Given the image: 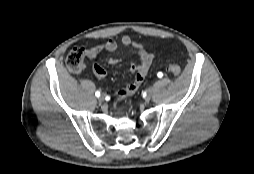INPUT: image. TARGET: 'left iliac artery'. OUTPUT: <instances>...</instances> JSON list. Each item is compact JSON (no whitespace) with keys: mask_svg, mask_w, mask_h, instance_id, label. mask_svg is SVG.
Here are the masks:
<instances>
[{"mask_svg":"<svg viewBox=\"0 0 254 174\" xmlns=\"http://www.w3.org/2000/svg\"><path fill=\"white\" fill-rule=\"evenodd\" d=\"M157 76H158L159 78H161V77L163 76V73H162V72H158Z\"/></svg>","mask_w":254,"mask_h":174,"instance_id":"obj_1","label":"left iliac artery"}]
</instances>
